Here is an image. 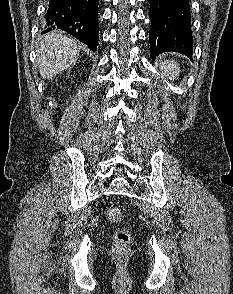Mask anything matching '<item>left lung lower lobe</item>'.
Returning <instances> with one entry per match:
<instances>
[{"instance_id":"1","label":"left lung lower lobe","mask_w":233,"mask_h":294,"mask_svg":"<svg viewBox=\"0 0 233 294\" xmlns=\"http://www.w3.org/2000/svg\"><path fill=\"white\" fill-rule=\"evenodd\" d=\"M151 58L175 51L192 58L193 37L189 0H148Z\"/></svg>"}]
</instances>
